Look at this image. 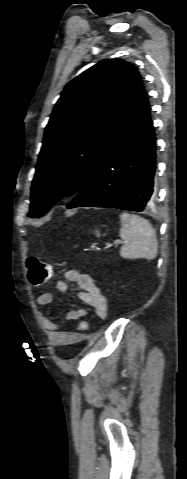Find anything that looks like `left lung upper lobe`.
<instances>
[{
    "label": "left lung upper lobe",
    "instance_id": "5c2ea615",
    "mask_svg": "<svg viewBox=\"0 0 187 479\" xmlns=\"http://www.w3.org/2000/svg\"><path fill=\"white\" fill-rule=\"evenodd\" d=\"M141 86L137 68L121 59L99 62L67 84L45 130L31 214L81 190L116 142Z\"/></svg>",
    "mask_w": 187,
    "mask_h": 479
}]
</instances>
